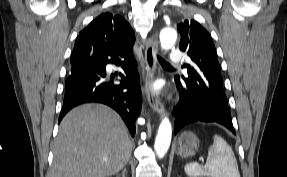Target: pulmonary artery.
I'll use <instances>...</instances> for the list:
<instances>
[{
	"label": "pulmonary artery",
	"mask_w": 287,
	"mask_h": 177,
	"mask_svg": "<svg viewBox=\"0 0 287 177\" xmlns=\"http://www.w3.org/2000/svg\"><path fill=\"white\" fill-rule=\"evenodd\" d=\"M181 63V51L173 49L169 58V65L172 67L179 66Z\"/></svg>",
	"instance_id": "1"
}]
</instances>
